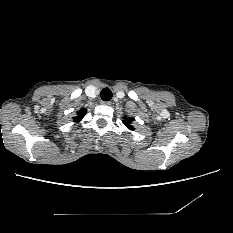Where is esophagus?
Returning a JSON list of instances; mask_svg holds the SVG:
<instances>
[{
    "mask_svg": "<svg viewBox=\"0 0 233 233\" xmlns=\"http://www.w3.org/2000/svg\"><path fill=\"white\" fill-rule=\"evenodd\" d=\"M102 105L110 106L111 102L110 101H101Z\"/></svg>",
    "mask_w": 233,
    "mask_h": 233,
    "instance_id": "obj_1",
    "label": "esophagus"
}]
</instances>
